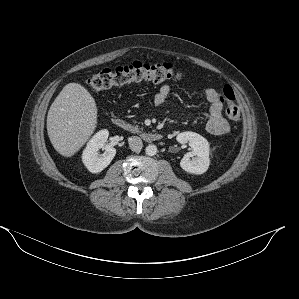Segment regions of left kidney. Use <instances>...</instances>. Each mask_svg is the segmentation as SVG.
<instances>
[{
  "instance_id": "left-kidney-1",
  "label": "left kidney",
  "mask_w": 299,
  "mask_h": 299,
  "mask_svg": "<svg viewBox=\"0 0 299 299\" xmlns=\"http://www.w3.org/2000/svg\"><path fill=\"white\" fill-rule=\"evenodd\" d=\"M176 139L181 144L188 142L192 149L182 158L181 168L191 174L201 175L205 173L210 164L208 141L201 135L190 131L179 133Z\"/></svg>"
}]
</instances>
